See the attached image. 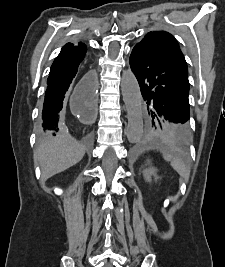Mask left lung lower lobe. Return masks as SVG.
Segmentation results:
<instances>
[{
	"mask_svg": "<svg viewBox=\"0 0 225 267\" xmlns=\"http://www.w3.org/2000/svg\"><path fill=\"white\" fill-rule=\"evenodd\" d=\"M130 66L142 96L157 117L177 125L180 130L190 119L188 68L181 50L163 40L145 36L130 55Z\"/></svg>",
	"mask_w": 225,
	"mask_h": 267,
	"instance_id": "left-lung-lower-lobe-1",
	"label": "left lung lower lobe"
}]
</instances>
